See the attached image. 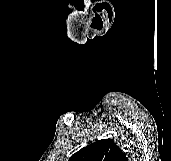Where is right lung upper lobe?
Masks as SVG:
<instances>
[{"mask_svg":"<svg viewBox=\"0 0 171 161\" xmlns=\"http://www.w3.org/2000/svg\"><path fill=\"white\" fill-rule=\"evenodd\" d=\"M69 161H128L112 139H102L72 155Z\"/></svg>","mask_w":171,"mask_h":161,"instance_id":"right-lung-upper-lobe-1","label":"right lung upper lobe"}]
</instances>
